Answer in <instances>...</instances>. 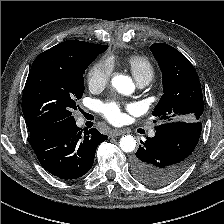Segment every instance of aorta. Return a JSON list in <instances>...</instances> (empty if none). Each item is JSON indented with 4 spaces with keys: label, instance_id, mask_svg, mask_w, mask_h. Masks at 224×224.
I'll list each match as a JSON object with an SVG mask.
<instances>
[{
    "label": "aorta",
    "instance_id": "obj_1",
    "mask_svg": "<svg viewBox=\"0 0 224 224\" xmlns=\"http://www.w3.org/2000/svg\"><path fill=\"white\" fill-rule=\"evenodd\" d=\"M113 87L124 95H130L134 91L132 80L125 75H115L112 78ZM120 148L124 152H132L136 148V139L131 135H125L120 139Z\"/></svg>",
    "mask_w": 224,
    "mask_h": 224
}]
</instances>
